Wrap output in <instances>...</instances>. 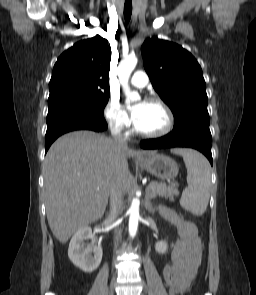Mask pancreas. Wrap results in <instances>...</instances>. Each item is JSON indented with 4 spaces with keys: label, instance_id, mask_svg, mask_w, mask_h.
Returning <instances> with one entry per match:
<instances>
[{
    "label": "pancreas",
    "instance_id": "cf45deb5",
    "mask_svg": "<svg viewBox=\"0 0 256 295\" xmlns=\"http://www.w3.org/2000/svg\"><path fill=\"white\" fill-rule=\"evenodd\" d=\"M147 195L155 198L157 196L168 198L170 201H174V197L179 195V191L175 185L167 186L162 182H151L147 189Z\"/></svg>",
    "mask_w": 256,
    "mask_h": 295
}]
</instances>
